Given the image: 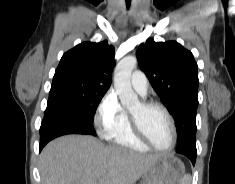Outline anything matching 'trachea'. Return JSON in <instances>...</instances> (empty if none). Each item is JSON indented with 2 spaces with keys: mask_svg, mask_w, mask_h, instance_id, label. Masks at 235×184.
Returning <instances> with one entry per match:
<instances>
[{
  "mask_svg": "<svg viewBox=\"0 0 235 184\" xmlns=\"http://www.w3.org/2000/svg\"><path fill=\"white\" fill-rule=\"evenodd\" d=\"M130 4H131V0H126V6H127V8L130 7Z\"/></svg>",
  "mask_w": 235,
  "mask_h": 184,
  "instance_id": "1",
  "label": "trachea"
}]
</instances>
